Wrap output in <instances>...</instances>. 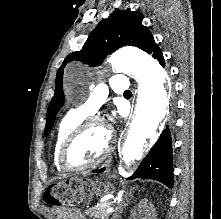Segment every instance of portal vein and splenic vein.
Wrapping results in <instances>:
<instances>
[{
  "label": "portal vein and splenic vein",
  "instance_id": "portal-vein-and-splenic-vein-1",
  "mask_svg": "<svg viewBox=\"0 0 221 219\" xmlns=\"http://www.w3.org/2000/svg\"><path fill=\"white\" fill-rule=\"evenodd\" d=\"M107 211H108L109 213H111V212L114 211V208H108Z\"/></svg>",
  "mask_w": 221,
  "mask_h": 219
}]
</instances>
